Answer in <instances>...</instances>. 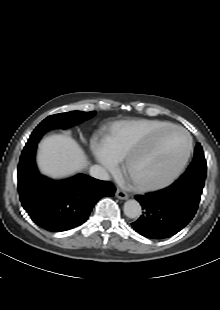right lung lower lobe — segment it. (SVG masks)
<instances>
[{"mask_svg":"<svg viewBox=\"0 0 220 310\" xmlns=\"http://www.w3.org/2000/svg\"><path fill=\"white\" fill-rule=\"evenodd\" d=\"M37 142L26 144L18 165V191L23 208L40 227L51 232L70 230L83 224L104 196L115 187L84 174L54 181L39 174L35 164Z\"/></svg>","mask_w":220,"mask_h":310,"instance_id":"98d812e1","label":"right lung lower lobe"}]
</instances>
